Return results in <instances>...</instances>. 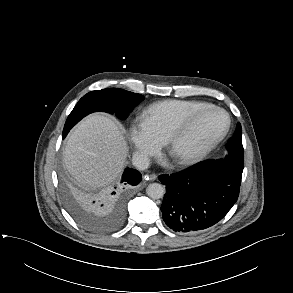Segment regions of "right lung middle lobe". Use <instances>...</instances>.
I'll return each mask as SVG.
<instances>
[{"instance_id": "right-lung-middle-lobe-1", "label": "right lung middle lobe", "mask_w": 293, "mask_h": 293, "mask_svg": "<svg viewBox=\"0 0 293 293\" xmlns=\"http://www.w3.org/2000/svg\"><path fill=\"white\" fill-rule=\"evenodd\" d=\"M143 99L141 94L119 88L91 91L79 100L69 114L63 129V138L77 122L90 113H115L118 118L125 119ZM63 196L70 213L86 229L102 232L115 227L112 214L100 215L93 212L82 194L64 187Z\"/></svg>"}]
</instances>
